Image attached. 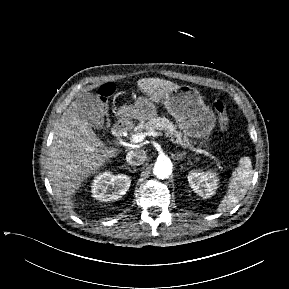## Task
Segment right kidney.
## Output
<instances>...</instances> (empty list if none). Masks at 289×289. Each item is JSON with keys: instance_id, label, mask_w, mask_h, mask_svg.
I'll return each instance as SVG.
<instances>
[{"instance_id": "ca27d5eb", "label": "right kidney", "mask_w": 289, "mask_h": 289, "mask_svg": "<svg viewBox=\"0 0 289 289\" xmlns=\"http://www.w3.org/2000/svg\"><path fill=\"white\" fill-rule=\"evenodd\" d=\"M130 184L131 180L127 175L104 172L93 180L92 196L101 202L118 200L126 194Z\"/></svg>"}]
</instances>
